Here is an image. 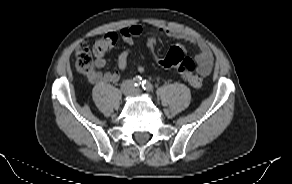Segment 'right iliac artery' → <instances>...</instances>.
Returning a JSON list of instances; mask_svg holds the SVG:
<instances>
[{
	"mask_svg": "<svg viewBox=\"0 0 292 184\" xmlns=\"http://www.w3.org/2000/svg\"><path fill=\"white\" fill-rule=\"evenodd\" d=\"M134 86L139 87L142 84V78L140 76H136L133 79Z\"/></svg>",
	"mask_w": 292,
	"mask_h": 184,
	"instance_id": "1",
	"label": "right iliac artery"
}]
</instances>
